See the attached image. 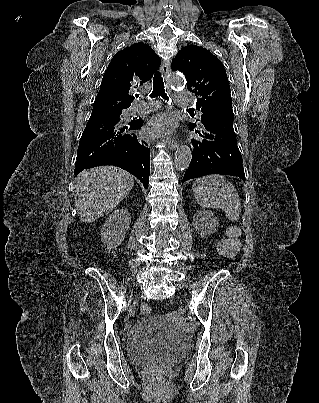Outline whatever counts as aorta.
<instances>
[{
  "label": "aorta",
  "mask_w": 319,
  "mask_h": 403,
  "mask_svg": "<svg viewBox=\"0 0 319 403\" xmlns=\"http://www.w3.org/2000/svg\"><path fill=\"white\" fill-rule=\"evenodd\" d=\"M168 85L172 88H182L185 85V81L182 77L177 74H171L167 80ZM192 153L188 145H182L175 155V165L179 170H184L188 168L191 161Z\"/></svg>",
  "instance_id": "aorta-1"
}]
</instances>
